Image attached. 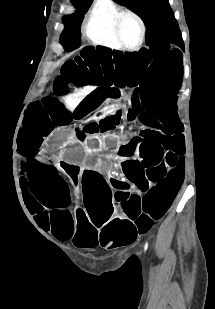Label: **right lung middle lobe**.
Masks as SVG:
<instances>
[{
	"label": "right lung middle lobe",
	"mask_w": 215,
	"mask_h": 309,
	"mask_svg": "<svg viewBox=\"0 0 215 309\" xmlns=\"http://www.w3.org/2000/svg\"><path fill=\"white\" fill-rule=\"evenodd\" d=\"M92 1V0H91ZM76 5H82L81 11L66 18V28L61 35L60 42L64 46L66 51H72L80 47V34L79 26L83 17V14L87 11L90 3L74 2Z\"/></svg>",
	"instance_id": "1"
}]
</instances>
